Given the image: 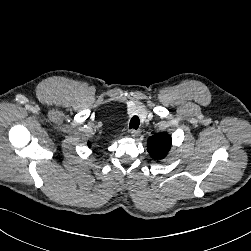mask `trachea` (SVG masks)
Returning <instances> with one entry per match:
<instances>
[{
    "label": "trachea",
    "instance_id": "3493384b",
    "mask_svg": "<svg viewBox=\"0 0 251 251\" xmlns=\"http://www.w3.org/2000/svg\"><path fill=\"white\" fill-rule=\"evenodd\" d=\"M140 124L138 116H133L130 120L129 128L137 130Z\"/></svg>",
    "mask_w": 251,
    "mask_h": 251
}]
</instances>
